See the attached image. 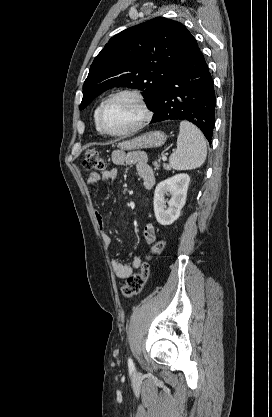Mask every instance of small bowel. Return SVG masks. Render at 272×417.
Masks as SVG:
<instances>
[{
	"instance_id": "1",
	"label": "small bowel",
	"mask_w": 272,
	"mask_h": 417,
	"mask_svg": "<svg viewBox=\"0 0 272 417\" xmlns=\"http://www.w3.org/2000/svg\"><path fill=\"white\" fill-rule=\"evenodd\" d=\"M111 159L113 164L116 166H135L138 176L143 181L144 187L146 189H151L155 184V176L151 166L148 164L147 156L143 152H132L125 153L121 150H116L112 152ZM119 174L117 168H111L105 170L101 173L90 172L87 177V186L92 189L93 186L99 182H109L114 180ZM95 217L98 222V225L101 229V236L104 246L109 249L112 245V237L104 231L103 229V219L100 212L95 211ZM144 237L148 243H153L156 239L155 227L153 224H148L144 230ZM153 255L150 253L147 255V258H151ZM142 260L140 258H134L131 264L123 263L119 260L112 259L110 264L114 274L122 279L128 278L133 274L135 269H138L142 265Z\"/></svg>"
}]
</instances>
